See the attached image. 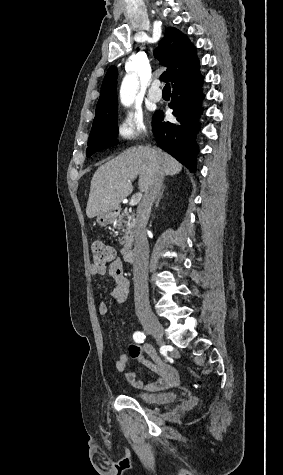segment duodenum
<instances>
[{"mask_svg": "<svg viewBox=\"0 0 283 475\" xmlns=\"http://www.w3.org/2000/svg\"><path fill=\"white\" fill-rule=\"evenodd\" d=\"M134 250L133 249H126L123 251V260L127 263H131L134 260Z\"/></svg>", "mask_w": 283, "mask_h": 475, "instance_id": "1", "label": "duodenum"}]
</instances>
